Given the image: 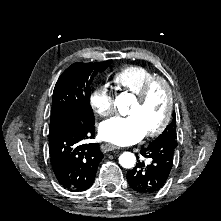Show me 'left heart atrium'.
I'll list each match as a JSON object with an SVG mask.
<instances>
[{
  "instance_id": "39dd6f15",
  "label": "left heart atrium",
  "mask_w": 221,
  "mask_h": 221,
  "mask_svg": "<svg viewBox=\"0 0 221 221\" xmlns=\"http://www.w3.org/2000/svg\"><path fill=\"white\" fill-rule=\"evenodd\" d=\"M100 137L116 145H130L140 141L146 131L134 116L113 117L99 127Z\"/></svg>"
}]
</instances>
